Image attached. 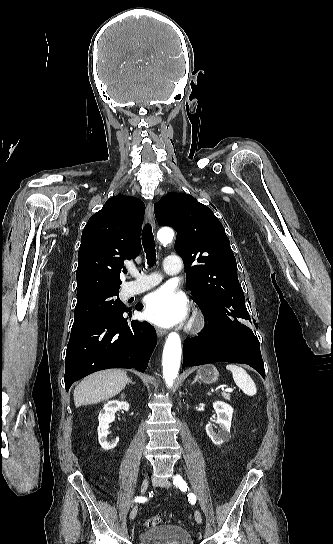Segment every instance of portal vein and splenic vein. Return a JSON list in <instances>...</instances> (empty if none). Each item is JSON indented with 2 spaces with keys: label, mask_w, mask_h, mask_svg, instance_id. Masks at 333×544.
Segmentation results:
<instances>
[{
  "label": "portal vein and splenic vein",
  "mask_w": 333,
  "mask_h": 544,
  "mask_svg": "<svg viewBox=\"0 0 333 544\" xmlns=\"http://www.w3.org/2000/svg\"><path fill=\"white\" fill-rule=\"evenodd\" d=\"M222 391L227 392V391H231V390L222 388Z\"/></svg>",
  "instance_id": "18ae733b"
}]
</instances>
